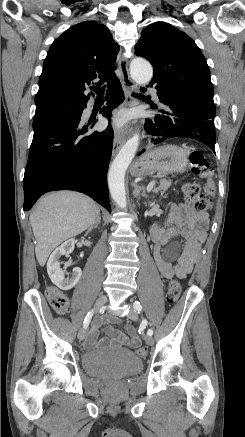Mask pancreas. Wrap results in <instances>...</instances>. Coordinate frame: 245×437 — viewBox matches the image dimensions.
<instances>
[{
  "label": "pancreas",
  "mask_w": 245,
  "mask_h": 437,
  "mask_svg": "<svg viewBox=\"0 0 245 437\" xmlns=\"http://www.w3.org/2000/svg\"><path fill=\"white\" fill-rule=\"evenodd\" d=\"M172 181L171 180H160L159 185L153 188L154 193H158L159 191L164 192L168 190V188L171 186Z\"/></svg>",
  "instance_id": "obj_1"
}]
</instances>
